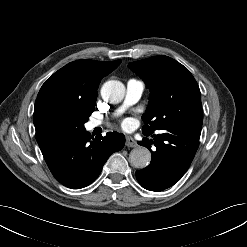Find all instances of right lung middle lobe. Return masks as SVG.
Returning a JSON list of instances; mask_svg holds the SVG:
<instances>
[{"label": "right lung middle lobe", "mask_w": 247, "mask_h": 247, "mask_svg": "<svg viewBox=\"0 0 247 247\" xmlns=\"http://www.w3.org/2000/svg\"><path fill=\"white\" fill-rule=\"evenodd\" d=\"M94 111V107L49 104L33 118L36 131L57 130L76 132L85 129L84 123Z\"/></svg>", "instance_id": "right-lung-middle-lobe-1"}]
</instances>
